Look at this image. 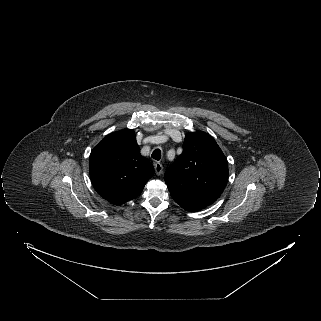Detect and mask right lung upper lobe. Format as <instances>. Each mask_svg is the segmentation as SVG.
<instances>
[{"mask_svg": "<svg viewBox=\"0 0 321 321\" xmlns=\"http://www.w3.org/2000/svg\"><path fill=\"white\" fill-rule=\"evenodd\" d=\"M89 166L95 190L116 205L139 196L154 174L151 162L141 156L131 129L111 133L101 140L91 152Z\"/></svg>", "mask_w": 321, "mask_h": 321, "instance_id": "obj_1", "label": "right lung upper lobe"}]
</instances>
